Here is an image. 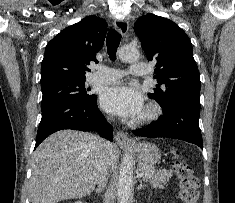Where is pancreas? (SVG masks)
<instances>
[{
    "label": "pancreas",
    "mask_w": 235,
    "mask_h": 203,
    "mask_svg": "<svg viewBox=\"0 0 235 203\" xmlns=\"http://www.w3.org/2000/svg\"><path fill=\"white\" fill-rule=\"evenodd\" d=\"M139 171L143 173V180L155 186L166 184L172 177L169 170H158L153 165L139 164Z\"/></svg>",
    "instance_id": "obj_1"
}]
</instances>
